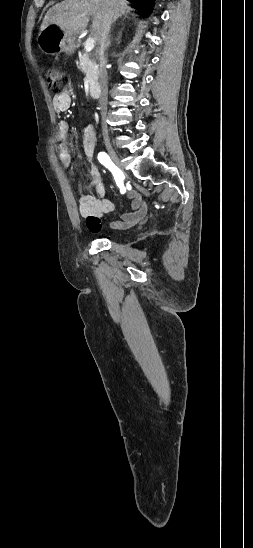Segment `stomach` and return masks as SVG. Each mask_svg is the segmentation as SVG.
<instances>
[{
  "instance_id": "1",
  "label": "stomach",
  "mask_w": 253,
  "mask_h": 548,
  "mask_svg": "<svg viewBox=\"0 0 253 548\" xmlns=\"http://www.w3.org/2000/svg\"><path fill=\"white\" fill-rule=\"evenodd\" d=\"M40 50L49 55L71 54L75 51L74 37H68L59 27L49 25L37 37Z\"/></svg>"
}]
</instances>
